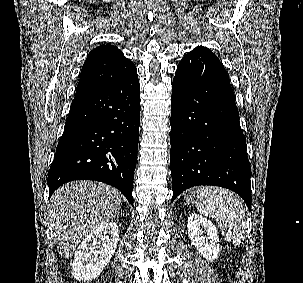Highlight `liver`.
<instances>
[{
  "instance_id": "liver-1",
  "label": "liver",
  "mask_w": 303,
  "mask_h": 283,
  "mask_svg": "<svg viewBox=\"0 0 303 283\" xmlns=\"http://www.w3.org/2000/svg\"><path fill=\"white\" fill-rule=\"evenodd\" d=\"M120 192L103 183L71 182L55 191L49 217L59 254L69 258L78 244L120 211Z\"/></svg>"
}]
</instances>
